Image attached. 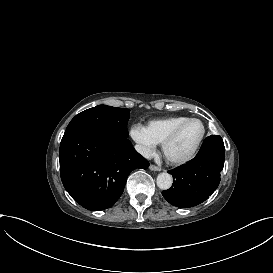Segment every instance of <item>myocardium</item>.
Wrapping results in <instances>:
<instances>
[{
    "label": "myocardium",
    "mask_w": 273,
    "mask_h": 273,
    "mask_svg": "<svg viewBox=\"0 0 273 273\" xmlns=\"http://www.w3.org/2000/svg\"><path fill=\"white\" fill-rule=\"evenodd\" d=\"M200 121L203 124V133L201 138L199 139V141L197 142L196 146L192 149V151L181 158H171L167 155V147L171 144V142L176 138L177 134L179 133V131L182 129V127L191 122V121ZM208 133V125L206 123L205 120H203L202 118L199 117H188L186 120L181 121L180 123H178L176 126L173 127V129L166 135V137L163 139V141L161 142V149L163 152V155L165 157V159L167 160L168 163L175 165V166H180V165H185L189 162H191L197 155V153L199 152L206 136Z\"/></svg>",
    "instance_id": "f54148a6"
}]
</instances>
